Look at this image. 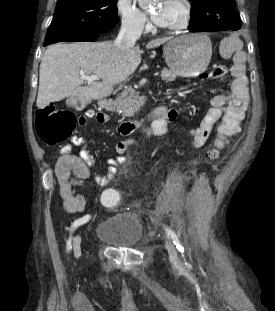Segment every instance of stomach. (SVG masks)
Listing matches in <instances>:
<instances>
[{"mask_svg": "<svg viewBox=\"0 0 275 311\" xmlns=\"http://www.w3.org/2000/svg\"><path fill=\"white\" fill-rule=\"evenodd\" d=\"M169 69L182 77H196L208 67L212 43L203 34H190L170 40L163 48Z\"/></svg>", "mask_w": 275, "mask_h": 311, "instance_id": "stomach-1", "label": "stomach"}]
</instances>
